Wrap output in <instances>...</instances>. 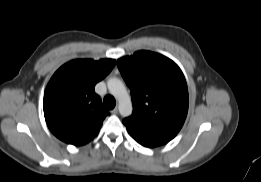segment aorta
<instances>
[{
	"mask_svg": "<svg viewBox=\"0 0 261 182\" xmlns=\"http://www.w3.org/2000/svg\"><path fill=\"white\" fill-rule=\"evenodd\" d=\"M107 87L109 92L118 100L121 116H130L133 111L132 101L123 82L118 78H110L107 81Z\"/></svg>",
	"mask_w": 261,
	"mask_h": 182,
	"instance_id": "762f6f07",
	"label": "aorta"
}]
</instances>
